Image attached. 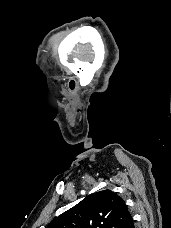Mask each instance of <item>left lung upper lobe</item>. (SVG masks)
Listing matches in <instances>:
<instances>
[{
	"label": "left lung upper lobe",
	"mask_w": 171,
	"mask_h": 228,
	"mask_svg": "<svg viewBox=\"0 0 171 228\" xmlns=\"http://www.w3.org/2000/svg\"><path fill=\"white\" fill-rule=\"evenodd\" d=\"M131 214L125 201L111 190L91 194L47 228H122Z\"/></svg>",
	"instance_id": "obj_1"
}]
</instances>
